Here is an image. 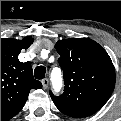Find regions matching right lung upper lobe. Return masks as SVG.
Wrapping results in <instances>:
<instances>
[{
	"label": "right lung upper lobe",
	"instance_id": "cb5924a9",
	"mask_svg": "<svg viewBox=\"0 0 121 121\" xmlns=\"http://www.w3.org/2000/svg\"><path fill=\"white\" fill-rule=\"evenodd\" d=\"M32 43L30 36L22 40L1 38V121L10 120L23 108L31 89L42 87L33 78L30 63L18 60L20 51Z\"/></svg>",
	"mask_w": 121,
	"mask_h": 121
}]
</instances>
